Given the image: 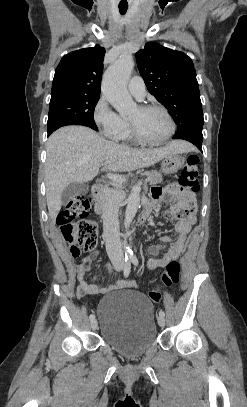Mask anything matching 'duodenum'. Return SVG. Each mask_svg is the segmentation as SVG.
<instances>
[{"instance_id":"duodenum-1","label":"duodenum","mask_w":247,"mask_h":407,"mask_svg":"<svg viewBox=\"0 0 247 407\" xmlns=\"http://www.w3.org/2000/svg\"><path fill=\"white\" fill-rule=\"evenodd\" d=\"M106 186V181L104 179H98L94 182L92 188V194L94 198V212L102 219L105 220L107 217V206L101 199V194ZM152 205L145 201L141 213L139 216V222L143 223L149 217Z\"/></svg>"}]
</instances>
